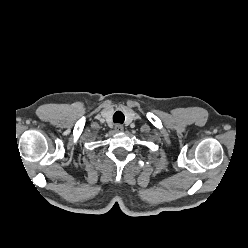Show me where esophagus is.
<instances>
[{
  "mask_svg": "<svg viewBox=\"0 0 248 248\" xmlns=\"http://www.w3.org/2000/svg\"><path fill=\"white\" fill-rule=\"evenodd\" d=\"M124 129H123V126L121 124H116L115 125V131L116 132H122Z\"/></svg>",
  "mask_w": 248,
  "mask_h": 248,
  "instance_id": "obj_1",
  "label": "esophagus"
}]
</instances>
